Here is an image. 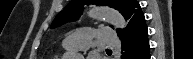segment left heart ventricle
Masks as SVG:
<instances>
[{"label": "left heart ventricle", "instance_id": "left-heart-ventricle-1", "mask_svg": "<svg viewBox=\"0 0 193 59\" xmlns=\"http://www.w3.org/2000/svg\"><path fill=\"white\" fill-rule=\"evenodd\" d=\"M74 52H78V53H80L81 55H83V54L86 52V50H74Z\"/></svg>", "mask_w": 193, "mask_h": 59}]
</instances>
